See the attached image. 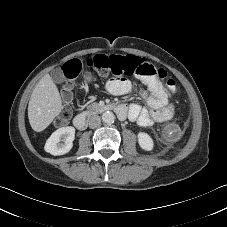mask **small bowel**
<instances>
[{
	"mask_svg": "<svg viewBox=\"0 0 227 227\" xmlns=\"http://www.w3.org/2000/svg\"><path fill=\"white\" fill-rule=\"evenodd\" d=\"M139 77L146 86V89L139 91V95L148 108L135 103L131 104L128 108L129 119L143 127H150L157 122L170 121L174 116L175 108L168 102L162 83L158 79ZM106 89L114 96H125L132 92L133 84L124 78L112 79L108 81Z\"/></svg>",
	"mask_w": 227,
	"mask_h": 227,
	"instance_id": "small-bowel-1",
	"label": "small bowel"
}]
</instances>
